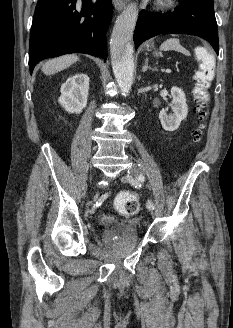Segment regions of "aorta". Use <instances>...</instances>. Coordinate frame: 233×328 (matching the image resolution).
Returning a JSON list of instances; mask_svg holds the SVG:
<instances>
[{"mask_svg":"<svg viewBox=\"0 0 233 328\" xmlns=\"http://www.w3.org/2000/svg\"><path fill=\"white\" fill-rule=\"evenodd\" d=\"M137 18V5L131 3L117 19L111 34L110 49L113 71L124 96L131 89L133 80V47L130 41Z\"/></svg>","mask_w":233,"mask_h":328,"instance_id":"obj_1","label":"aorta"}]
</instances>
